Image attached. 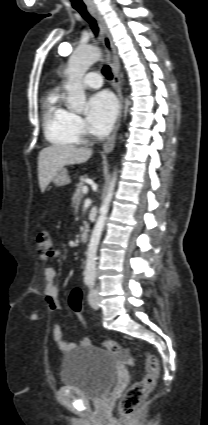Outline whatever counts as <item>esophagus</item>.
<instances>
[{
    "label": "esophagus",
    "instance_id": "1",
    "mask_svg": "<svg viewBox=\"0 0 208 425\" xmlns=\"http://www.w3.org/2000/svg\"><path fill=\"white\" fill-rule=\"evenodd\" d=\"M88 11L98 21L100 31H101L102 42H103V45L105 47V51H106V54H107V60H108V63L110 64V66H111L112 73H113V85H114L115 91L117 93V97H118L119 104H120V114H119L118 120L116 122L114 131H113L112 135L104 142L103 148H102V153H109V152L112 151V149L115 145L116 135H117L118 129L120 127V121H121L122 109H123V96H122V91H121V80H120V76H119L120 65H119V59H118L116 47H115V45L112 41L111 35L109 33V30L106 26V23H105L102 15L99 13V11L97 10L96 7L91 6V7L88 8Z\"/></svg>",
    "mask_w": 208,
    "mask_h": 425
}]
</instances>
